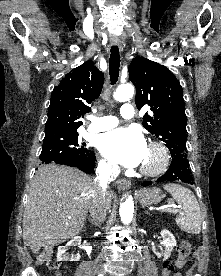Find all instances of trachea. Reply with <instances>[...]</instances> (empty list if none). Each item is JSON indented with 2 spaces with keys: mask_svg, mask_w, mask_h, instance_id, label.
Here are the masks:
<instances>
[{
  "mask_svg": "<svg viewBox=\"0 0 221 276\" xmlns=\"http://www.w3.org/2000/svg\"><path fill=\"white\" fill-rule=\"evenodd\" d=\"M120 54L117 46L111 47V54L109 59V75L111 84L114 85L119 77Z\"/></svg>",
  "mask_w": 221,
  "mask_h": 276,
  "instance_id": "3493384b",
  "label": "trachea"
}]
</instances>
